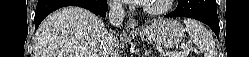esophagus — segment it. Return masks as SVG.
<instances>
[{
	"mask_svg": "<svg viewBox=\"0 0 249 57\" xmlns=\"http://www.w3.org/2000/svg\"><path fill=\"white\" fill-rule=\"evenodd\" d=\"M127 29L129 31H136L138 30V20L134 18H130L127 23Z\"/></svg>",
	"mask_w": 249,
	"mask_h": 57,
	"instance_id": "34e87169",
	"label": "esophagus"
}]
</instances>
